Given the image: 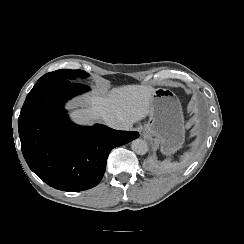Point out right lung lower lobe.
Returning a JSON list of instances; mask_svg holds the SVG:
<instances>
[{
  "mask_svg": "<svg viewBox=\"0 0 244 244\" xmlns=\"http://www.w3.org/2000/svg\"><path fill=\"white\" fill-rule=\"evenodd\" d=\"M89 87L70 80L37 83L22 107L18 128L30 169L45 183L63 191H82L103 177L110 151L136 138V131H118L96 124L74 125L64 104Z\"/></svg>",
  "mask_w": 244,
  "mask_h": 244,
  "instance_id": "obj_1",
  "label": "right lung lower lobe"
}]
</instances>
